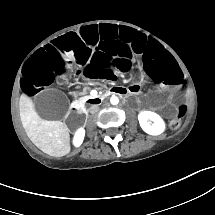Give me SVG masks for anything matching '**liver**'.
I'll return each mask as SVG.
<instances>
[{"instance_id":"obj_1","label":"liver","mask_w":215,"mask_h":215,"mask_svg":"<svg viewBox=\"0 0 215 215\" xmlns=\"http://www.w3.org/2000/svg\"><path fill=\"white\" fill-rule=\"evenodd\" d=\"M19 109L22 126L36 147L53 156H62L70 151V135L66 125L61 121L41 119L25 96L20 99Z\"/></svg>"}]
</instances>
